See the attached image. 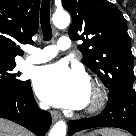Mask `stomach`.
I'll list each match as a JSON object with an SVG mask.
<instances>
[{
    "label": "stomach",
    "mask_w": 136,
    "mask_h": 136,
    "mask_svg": "<svg viewBox=\"0 0 136 136\" xmlns=\"http://www.w3.org/2000/svg\"><path fill=\"white\" fill-rule=\"evenodd\" d=\"M86 136H94V135H86Z\"/></svg>",
    "instance_id": "stomach-1"
}]
</instances>
